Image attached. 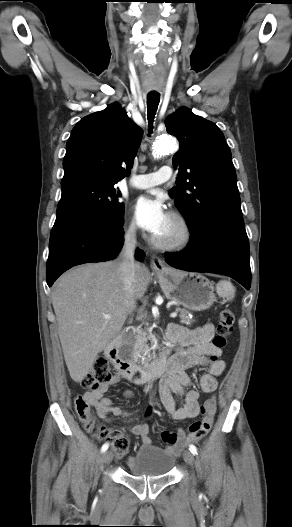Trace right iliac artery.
I'll use <instances>...</instances> for the list:
<instances>
[{
	"mask_svg": "<svg viewBox=\"0 0 292 527\" xmlns=\"http://www.w3.org/2000/svg\"><path fill=\"white\" fill-rule=\"evenodd\" d=\"M108 447H109L108 443L103 444V446L101 447V452H105L108 449Z\"/></svg>",
	"mask_w": 292,
	"mask_h": 527,
	"instance_id": "obj_1",
	"label": "right iliac artery"
}]
</instances>
